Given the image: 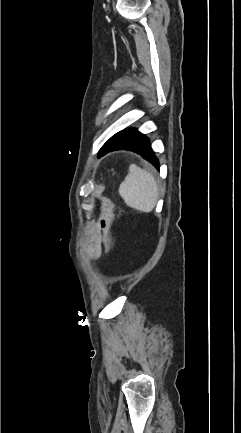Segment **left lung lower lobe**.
I'll return each instance as SVG.
<instances>
[{
    "label": "left lung lower lobe",
    "instance_id": "obj_1",
    "mask_svg": "<svg viewBox=\"0 0 241 433\" xmlns=\"http://www.w3.org/2000/svg\"><path fill=\"white\" fill-rule=\"evenodd\" d=\"M120 149H127V150L135 151L138 154H140L144 159L149 161L152 165H154L157 169H159V167H160L159 161L152 151L150 141L145 136L138 139V140H135L134 142L129 143L128 145L120 146V147L115 148L113 150H110L108 152H111L114 150H120ZM108 152H106V153H108ZM106 153L99 155V157L105 155Z\"/></svg>",
    "mask_w": 241,
    "mask_h": 433
}]
</instances>
